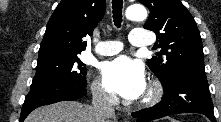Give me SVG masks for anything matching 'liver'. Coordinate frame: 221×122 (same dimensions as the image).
Masks as SVG:
<instances>
[{"instance_id": "1", "label": "liver", "mask_w": 221, "mask_h": 122, "mask_svg": "<svg viewBox=\"0 0 221 122\" xmlns=\"http://www.w3.org/2000/svg\"><path fill=\"white\" fill-rule=\"evenodd\" d=\"M92 106L77 101H61L35 109L25 122H96Z\"/></svg>"}]
</instances>
